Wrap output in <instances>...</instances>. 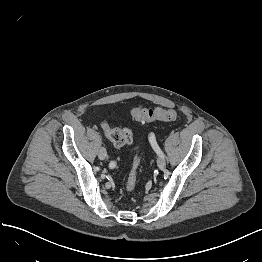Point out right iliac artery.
<instances>
[{
	"mask_svg": "<svg viewBox=\"0 0 262 262\" xmlns=\"http://www.w3.org/2000/svg\"><path fill=\"white\" fill-rule=\"evenodd\" d=\"M114 164H115V162H114V161H111V162L109 163V166L112 167V165H114Z\"/></svg>",
	"mask_w": 262,
	"mask_h": 262,
	"instance_id": "right-iliac-artery-1",
	"label": "right iliac artery"
}]
</instances>
